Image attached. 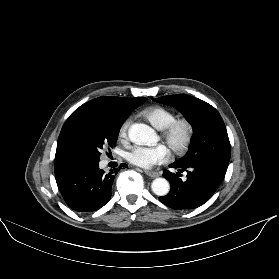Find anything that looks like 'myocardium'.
I'll return each mask as SVG.
<instances>
[{
  "label": "myocardium",
  "mask_w": 279,
  "mask_h": 279,
  "mask_svg": "<svg viewBox=\"0 0 279 279\" xmlns=\"http://www.w3.org/2000/svg\"><path fill=\"white\" fill-rule=\"evenodd\" d=\"M184 130L182 141L178 145L173 144V137L177 129ZM194 137V126L190 119L185 117L175 118L161 130V138L176 155L186 153Z\"/></svg>",
  "instance_id": "1"
}]
</instances>
